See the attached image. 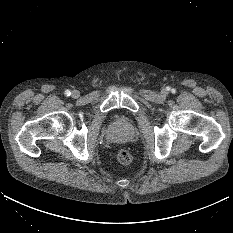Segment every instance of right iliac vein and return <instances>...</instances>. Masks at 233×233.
I'll list each match as a JSON object with an SVG mask.
<instances>
[{
  "mask_svg": "<svg viewBox=\"0 0 233 233\" xmlns=\"http://www.w3.org/2000/svg\"><path fill=\"white\" fill-rule=\"evenodd\" d=\"M72 96H73L74 98H78V97L80 96V92H79L78 90H74V91L72 92Z\"/></svg>",
  "mask_w": 233,
  "mask_h": 233,
  "instance_id": "1",
  "label": "right iliac vein"
}]
</instances>
